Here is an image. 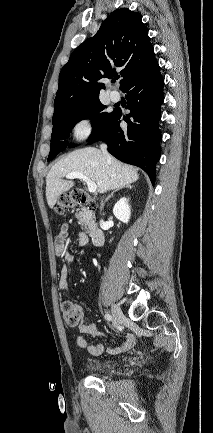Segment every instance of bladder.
Here are the masks:
<instances>
[{"label":"bladder","mask_w":213,"mask_h":433,"mask_svg":"<svg viewBox=\"0 0 213 433\" xmlns=\"http://www.w3.org/2000/svg\"><path fill=\"white\" fill-rule=\"evenodd\" d=\"M115 361L106 357H88L85 361V367L93 373H102L112 369Z\"/></svg>","instance_id":"obj_1"}]
</instances>
